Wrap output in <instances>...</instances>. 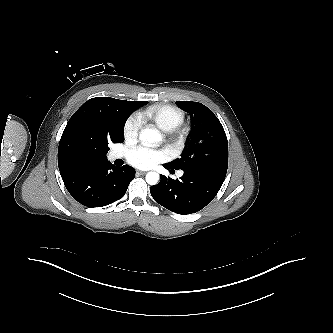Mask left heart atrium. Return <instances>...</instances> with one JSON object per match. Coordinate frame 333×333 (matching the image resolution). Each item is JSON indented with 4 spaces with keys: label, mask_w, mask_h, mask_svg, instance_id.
Wrapping results in <instances>:
<instances>
[{
    "label": "left heart atrium",
    "mask_w": 333,
    "mask_h": 333,
    "mask_svg": "<svg viewBox=\"0 0 333 333\" xmlns=\"http://www.w3.org/2000/svg\"><path fill=\"white\" fill-rule=\"evenodd\" d=\"M127 159L133 166L146 169L165 160L166 153L163 150H154L139 146L128 151Z\"/></svg>",
    "instance_id": "1"
}]
</instances>
